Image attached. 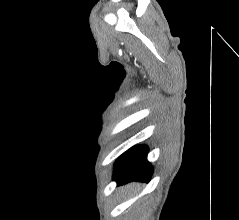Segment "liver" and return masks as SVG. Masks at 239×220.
Wrapping results in <instances>:
<instances>
[{"label":"liver","instance_id":"1","mask_svg":"<svg viewBox=\"0 0 239 220\" xmlns=\"http://www.w3.org/2000/svg\"><path fill=\"white\" fill-rule=\"evenodd\" d=\"M131 187V185H129L127 188H130Z\"/></svg>","mask_w":239,"mask_h":220}]
</instances>
